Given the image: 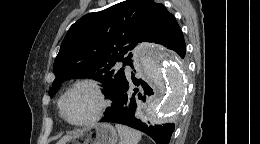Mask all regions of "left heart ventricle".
<instances>
[{
    "label": "left heart ventricle",
    "mask_w": 260,
    "mask_h": 144,
    "mask_svg": "<svg viewBox=\"0 0 260 144\" xmlns=\"http://www.w3.org/2000/svg\"><path fill=\"white\" fill-rule=\"evenodd\" d=\"M98 99L94 92L85 86L75 89L65 102V114L72 122H82L92 117L97 110Z\"/></svg>",
    "instance_id": "obj_1"
}]
</instances>
